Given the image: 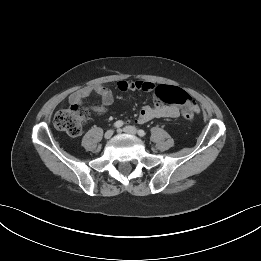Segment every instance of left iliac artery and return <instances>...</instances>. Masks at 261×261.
Wrapping results in <instances>:
<instances>
[{"label": "left iliac artery", "instance_id": "obj_1", "mask_svg": "<svg viewBox=\"0 0 261 261\" xmlns=\"http://www.w3.org/2000/svg\"><path fill=\"white\" fill-rule=\"evenodd\" d=\"M145 134H146V133H145L144 130H142V129L138 130V135H139V136L144 137Z\"/></svg>", "mask_w": 261, "mask_h": 261}]
</instances>
